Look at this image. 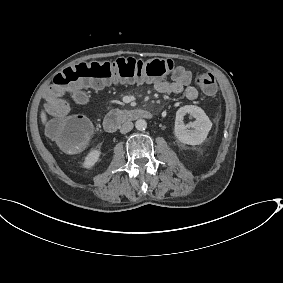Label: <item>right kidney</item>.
Masks as SVG:
<instances>
[{
	"instance_id": "right-kidney-1",
	"label": "right kidney",
	"mask_w": 283,
	"mask_h": 283,
	"mask_svg": "<svg viewBox=\"0 0 283 283\" xmlns=\"http://www.w3.org/2000/svg\"><path fill=\"white\" fill-rule=\"evenodd\" d=\"M100 153L101 152L99 150L90 151L88 155L85 157V160L83 162V167L87 169L93 167L94 164L98 161Z\"/></svg>"
}]
</instances>
